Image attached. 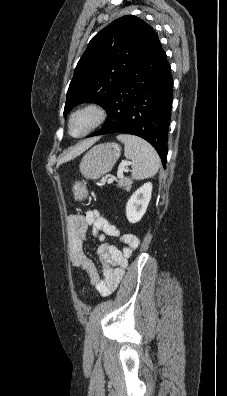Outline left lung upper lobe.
Returning a JSON list of instances; mask_svg holds the SVG:
<instances>
[{
	"label": "left lung upper lobe",
	"mask_w": 227,
	"mask_h": 396,
	"mask_svg": "<svg viewBox=\"0 0 227 396\" xmlns=\"http://www.w3.org/2000/svg\"><path fill=\"white\" fill-rule=\"evenodd\" d=\"M159 42L154 29L133 15L120 17L98 32L75 68L64 115L83 102L105 107L128 73Z\"/></svg>",
	"instance_id": "1"
}]
</instances>
